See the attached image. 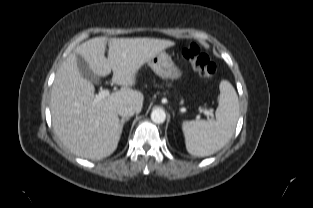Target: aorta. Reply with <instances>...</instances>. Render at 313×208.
Returning <instances> with one entry per match:
<instances>
[{
	"mask_svg": "<svg viewBox=\"0 0 313 208\" xmlns=\"http://www.w3.org/2000/svg\"><path fill=\"white\" fill-rule=\"evenodd\" d=\"M165 119H166V113L163 109L156 108V109H153V111L151 112V120L154 123H157V124L163 123Z\"/></svg>",
	"mask_w": 313,
	"mask_h": 208,
	"instance_id": "obj_1",
	"label": "aorta"
}]
</instances>
